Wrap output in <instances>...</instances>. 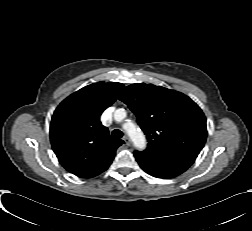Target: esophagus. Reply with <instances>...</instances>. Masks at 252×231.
Wrapping results in <instances>:
<instances>
[{
  "mask_svg": "<svg viewBox=\"0 0 252 231\" xmlns=\"http://www.w3.org/2000/svg\"><path fill=\"white\" fill-rule=\"evenodd\" d=\"M123 140H124V142H125V144H126L127 146H130L131 141H130V139L128 138V136H124V137H123Z\"/></svg>",
  "mask_w": 252,
  "mask_h": 231,
  "instance_id": "34e87169",
  "label": "esophagus"
}]
</instances>
